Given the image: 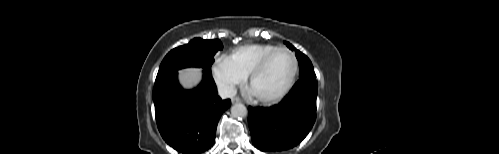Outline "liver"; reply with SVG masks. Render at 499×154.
<instances>
[{"label":"liver","mask_w":499,"mask_h":154,"mask_svg":"<svg viewBox=\"0 0 499 154\" xmlns=\"http://www.w3.org/2000/svg\"><path fill=\"white\" fill-rule=\"evenodd\" d=\"M201 71L199 68H187L179 71V82L185 89H191L197 86L201 80Z\"/></svg>","instance_id":"obj_1"}]
</instances>
